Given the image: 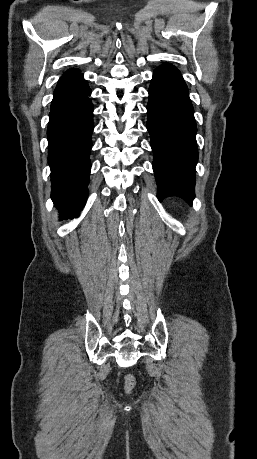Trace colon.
<instances>
[{
  "label": "colon",
  "mask_w": 257,
  "mask_h": 459,
  "mask_svg": "<svg viewBox=\"0 0 257 459\" xmlns=\"http://www.w3.org/2000/svg\"><path fill=\"white\" fill-rule=\"evenodd\" d=\"M136 385V380L132 375H126L124 377V389L126 392H131Z\"/></svg>",
  "instance_id": "obj_1"
}]
</instances>
